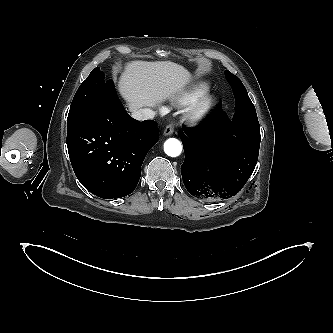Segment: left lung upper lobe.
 Wrapping results in <instances>:
<instances>
[{"mask_svg":"<svg viewBox=\"0 0 333 333\" xmlns=\"http://www.w3.org/2000/svg\"><path fill=\"white\" fill-rule=\"evenodd\" d=\"M225 76L233 89L235 98L237 100H245L250 106H252L253 104L249 99L246 88L242 84L241 80L228 70L225 71Z\"/></svg>","mask_w":333,"mask_h":333,"instance_id":"obj_1","label":"left lung upper lobe"}]
</instances>
